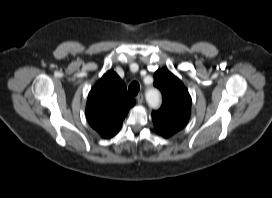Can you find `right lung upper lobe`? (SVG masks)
<instances>
[{
    "instance_id": "obj_1",
    "label": "right lung upper lobe",
    "mask_w": 272,
    "mask_h": 198,
    "mask_svg": "<svg viewBox=\"0 0 272 198\" xmlns=\"http://www.w3.org/2000/svg\"><path fill=\"white\" fill-rule=\"evenodd\" d=\"M134 104L135 100L127 93L124 82L113 70H109L88 95L86 117L89 124L108 139L118 133Z\"/></svg>"
}]
</instances>
